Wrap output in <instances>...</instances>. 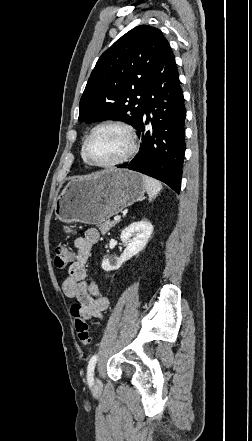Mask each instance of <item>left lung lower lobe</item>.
<instances>
[{"label":"left lung lower lobe","instance_id":"0a47b994","mask_svg":"<svg viewBox=\"0 0 252 441\" xmlns=\"http://www.w3.org/2000/svg\"><path fill=\"white\" fill-rule=\"evenodd\" d=\"M152 114V119L150 118ZM186 110L179 75L168 41L160 51L146 93L142 121L137 128L140 149L136 157L119 168L156 178L179 193L185 153ZM151 121L152 130L145 125Z\"/></svg>","mask_w":252,"mask_h":441}]
</instances>
